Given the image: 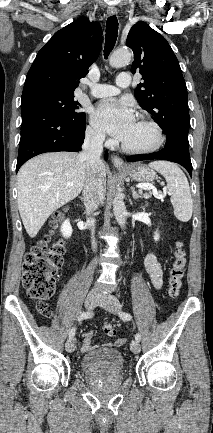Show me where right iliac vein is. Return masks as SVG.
Here are the masks:
<instances>
[{
  "instance_id": "obj_1",
  "label": "right iliac vein",
  "mask_w": 213,
  "mask_h": 433,
  "mask_svg": "<svg viewBox=\"0 0 213 433\" xmlns=\"http://www.w3.org/2000/svg\"><path fill=\"white\" fill-rule=\"evenodd\" d=\"M100 296L95 293H90L85 299V307L88 310H92L99 303ZM66 351L72 353L76 348V340L69 338L65 344Z\"/></svg>"
}]
</instances>
